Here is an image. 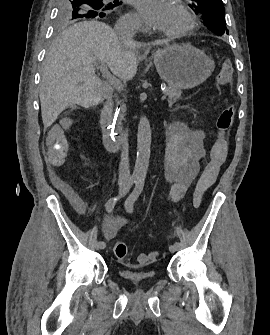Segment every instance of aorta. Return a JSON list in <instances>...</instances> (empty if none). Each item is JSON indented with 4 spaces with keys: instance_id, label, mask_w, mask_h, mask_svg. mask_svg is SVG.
I'll use <instances>...</instances> for the list:
<instances>
[{
    "instance_id": "aorta-1",
    "label": "aorta",
    "mask_w": 270,
    "mask_h": 335,
    "mask_svg": "<svg viewBox=\"0 0 270 335\" xmlns=\"http://www.w3.org/2000/svg\"><path fill=\"white\" fill-rule=\"evenodd\" d=\"M151 148V128L146 116H141L137 134V158L132 177L135 181H144L149 166Z\"/></svg>"
}]
</instances>
